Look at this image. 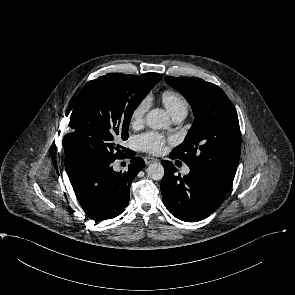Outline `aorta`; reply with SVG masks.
<instances>
[{
    "instance_id": "762f6f07",
    "label": "aorta",
    "mask_w": 295,
    "mask_h": 295,
    "mask_svg": "<svg viewBox=\"0 0 295 295\" xmlns=\"http://www.w3.org/2000/svg\"><path fill=\"white\" fill-rule=\"evenodd\" d=\"M146 123L152 129H166L171 121L168 113L161 108H155L146 115ZM147 175L153 180H161L164 176V167L160 163H152L147 168Z\"/></svg>"
}]
</instances>
